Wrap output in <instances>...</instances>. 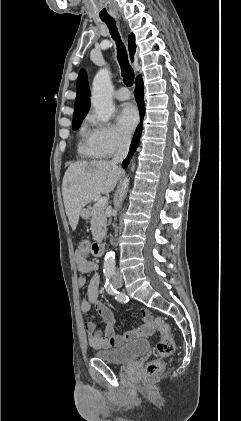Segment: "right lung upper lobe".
Wrapping results in <instances>:
<instances>
[{
	"instance_id": "right-lung-upper-lobe-1",
	"label": "right lung upper lobe",
	"mask_w": 241,
	"mask_h": 421,
	"mask_svg": "<svg viewBox=\"0 0 241 421\" xmlns=\"http://www.w3.org/2000/svg\"><path fill=\"white\" fill-rule=\"evenodd\" d=\"M128 48L130 51V55L135 53V38L134 34L131 33L128 39ZM131 60L133 61V56H131ZM76 98H75V110L73 114V118L86 116L90 108V91L87 82V76L84 70H81L76 85Z\"/></svg>"
}]
</instances>
